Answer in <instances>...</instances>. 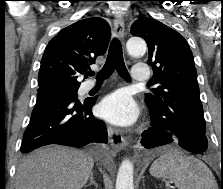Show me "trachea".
<instances>
[{"mask_svg":"<svg viewBox=\"0 0 223 189\" xmlns=\"http://www.w3.org/2000/svg\"><path fill=\"white\" fill-rule=\"evenodd\" d=\"M115 70L122 78L126 80L130 79L128 70L125 66L123 59L122 46L118 39L112 40L105 65L103 66L102 70L97 74V81L101 82L107 79ZM87 75L92 76L94 75V73L89 72Z\"/></svg>","mask_w":223,"mask_h":189,"instance_id":"1","label":"trachea"}]
</instances>
